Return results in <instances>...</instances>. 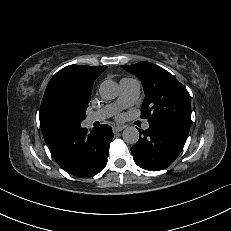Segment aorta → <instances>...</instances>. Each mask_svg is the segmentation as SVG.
Masks as SVG:
<instances>
[{"label": "aorta", "instance_id": "762f6f07", "mask_svg": "<svg viewBox=\"0 0 231 231\" xmlns=\"http://www.w3.org/2000/svg\"><path fill=\"white\" fill-rule=\"evenodd\" d=\"M119 86L113 80H105L101 83L99 94L103 99L112 100L118 96ZM139 131L136 127L130 126L124 129L122 133L123 140L129 144H136L139 140Z\"/></svg>", "mask_w": 231, "mask_h": 231}]
</instances>
